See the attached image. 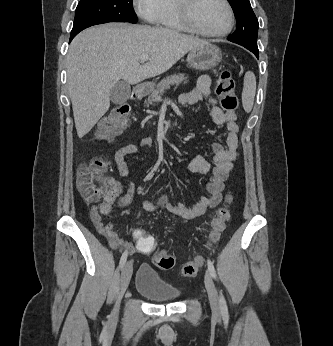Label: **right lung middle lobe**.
Segmentation results:
<instances>
[{
  "instance_id": "1",
  "label": "right lung middle lobe",
  "mask_w": 333,
  "mask_h": 346,
  "mask_svg": "<svg viewBox=\"0 0 333 346\" xmlns=\"http://www.w3.org/2000/svg\"><path fill=\"white\" fill-rule=\"evenodd\" d=\"M137 21L133 0H81L76 8L71 35L97 24Z\"/></svg>"
}]
</instances>
